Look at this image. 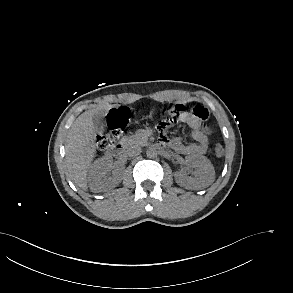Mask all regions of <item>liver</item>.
Segmentation results:
<instances>
[{"instance_id":"6515ba94","label":"liver","mask_w":293,"mask_h":293,"mask_svg":"<svg viewBox=\"0 0 293 293\" xmlns=\"http://www.w3.org/2000/svg\"><path fill=\"white\" fill-rule=\"evenodd\" d=\"M110 106H107V110ZM96 109L82 113L72 124L67 135L66 164L71 180L87 190V172L96 153L95 130L92 117Z\"/></svg>"}]
</instances>
